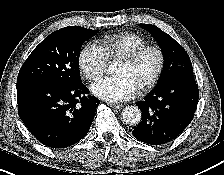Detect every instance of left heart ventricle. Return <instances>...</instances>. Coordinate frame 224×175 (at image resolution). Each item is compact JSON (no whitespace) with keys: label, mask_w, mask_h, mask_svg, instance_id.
<instances>
[{"label":"left heart ventricle","mask_w":224,"mask_h":175,"mask_svg":"<svg viewBox=\"0 0 224 175\" xmlns=\"http://www.w3.org/2000/svg\"><path fill=\"white\" fill-rule=\"evenodd\" d=\"M157 62V55L154 52H148L133 66L119 62L115 74L127 77L138 88L152 77Z\"/></svg>","instance_id":"1"}]
</instances>
